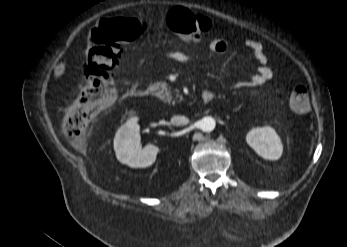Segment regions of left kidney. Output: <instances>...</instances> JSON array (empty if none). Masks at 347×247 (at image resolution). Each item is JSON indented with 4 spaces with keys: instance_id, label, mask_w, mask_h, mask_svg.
I'll use <instances>...</instances> for the list:
<instances>
[{
    "instance_id": "left-kidney-1",
    "label": "left kidney",
    "mask_w": 347,
    "mask_h": 247,
    "mask_svg": "<svg viewBox=\"0 0 347 247\" xmlns=\"http://www.w3.org/2000/svg\"><path fill=\"white\" fill-rule=\"evenodd\" d=\"M246 141L264 159L278 160L282 155L281 139L272 127L253 128L247 134Z\"/></svg>"
}]
</instances>
